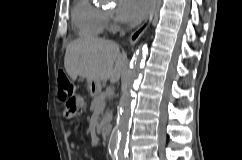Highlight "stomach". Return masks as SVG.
I'll use <instances>...</instances> for the list:
<instances>
[{
  "instance_id": "stomach-1",
  "label": "stomach",
  "mask_w": 242,
  "mask_h": 160,
  "mask_svg": "<svg viewBox=\"0 0 242 160\" xmlns=\"http://www.w3.org/2000/svg\"><path fill=\"white\" fill-rule=\"evenodd\" d=\"M87 88L91 96H96L101 91V82L87 81Z\"/></svg>"
}]
</instances>
